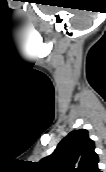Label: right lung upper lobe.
Segmentation results:
<instances>
[{
	"label": "right lung upper lobe",
	"mask_w": 106,
	"mask_h": 172,
	"mask_svg": "<svg viewBox=\"0 0 106 172\" xmlns=\"http://www.w3.org/2000/svg\"><path fill=\"white\" fill-rule=\"evenodd\" d=\"M95 144L85 129L70 132L54 152L39 165L43 172H102L99 171Z\"/></svg>",
	"instance_id": "cb5924a9"
}]
</instances>
